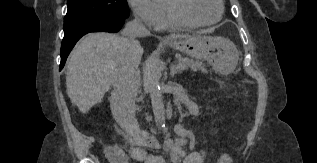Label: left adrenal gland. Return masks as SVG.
Here are the masks:
<instances>
[{"instance_id": "left-adrenal-gland-1", "label": "left adrenal gland", "mask_w": 317, "mask_h": 163, "mask_svg": "<svg viewBox=\"0 0 317 163\" xmlns=\"http://www.w3.org/2000/svg\"><path fill=\"white\" fill-rule=\"evenodd\" d=\"M177 73H179V71L176 70L174 64H171V66H170V75L173 77Z\"/></svg>"}]
</instances>
